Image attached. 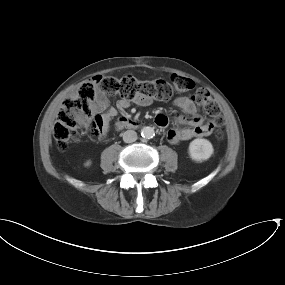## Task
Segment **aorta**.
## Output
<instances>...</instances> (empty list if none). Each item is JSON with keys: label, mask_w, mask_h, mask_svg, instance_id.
<instances>
[{"label": "aorta", "mask_w": 285, "mask_h": 285, "mask_svg": "<svg viewBox=\"0 0 285 285\" xmlns=\"http://www.w3.org/2000/svg\"><path fill=\"white\" fill-rule=\"evenodd\" d=\"M155 135L154 129L152 127H143L141 130V136L145 139H151Z\"/></svg>", "instance_id": "762f6f07"}]
</instances>
